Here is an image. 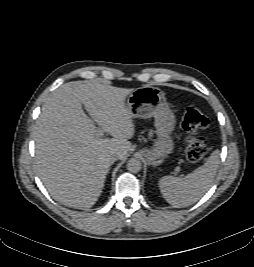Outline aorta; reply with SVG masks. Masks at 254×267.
Here are the masks:
<instances>
[{
  "label": "aorta",
  "instance_id": "1",
  "mask_svg": "<svg viewBox=\"0 0 254 267\" xmlns=\"http://www.w3.org/2000/svg\"><path fill=\"white\" fill-rule=\"evenodd\" d=\"M142 169V163L137 158H131L127 163V170L131 173H138Z\"/></svg>",
  "mask_w": 254,
  "mask_h": 267
}]
</instances>
